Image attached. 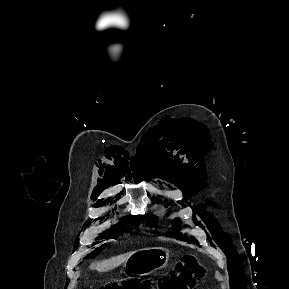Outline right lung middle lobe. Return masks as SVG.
<instances>
[{
  "mask_svg": "<svg viewBox=\"0 0 289 289\" xmlns=\"http://www.w3.org/2000/svg\"><path fill=\"white\" fill-rule=\"evenodd\" d=\"M141 222V218L138 216H127V217H123L121 219V221L114 225L111 229L105 231L104 233H102L100 235V237H98V239H107V238H113L115 237L118 233H121L122 231H126L129 232L131 230L130 227H124L125 223H130L132 224L134 227L138 226ZM99 242H95L94 244H97ZM93 244V245H94Z\"/></svg>",
  "mask_w": 289,
  "mask_h": 289,
  "instance_id": "dd1d6c3e",
  "label": "right lung middle lobe"
}]
</instances>
